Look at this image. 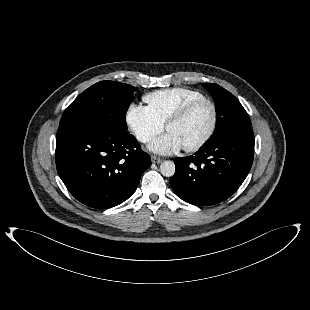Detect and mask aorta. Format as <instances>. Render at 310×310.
<instances>
[{"instance_id":"aorta-1","label":"aorta","mask_w":310,"mask_h":310,"mask_svg":"<svg viewBox=\"0 0 310 310\" xmlns=\"http://www.w3.org/2000/svg\"><path fill=\"white\" fill-rule=\"evenodd\" d=\"M160 172L165 177H172L175 173V164L172 161H163L160 165Z\"/></svg>"}]
</instances>
